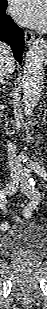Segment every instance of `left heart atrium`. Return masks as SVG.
I'll return each instance as SVG.
<instances>
[{
  "label": "left heart atrium",
  "mask_w": 47,
  "mask_h": 309,
  "mask_svg": "<svg viewBox=\"0 0 47 309\" xmlns=\"http://www.w3.org/2000/svg\"><path fill=\"white\" fill-rule=\"evenodd\" d=\"M11 14L22 25L43 27L47 21L46 0H13Z\"/></svg>",
  "instance_id": "left-heart-atrium-1"
}]
</instances>
